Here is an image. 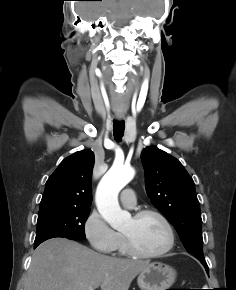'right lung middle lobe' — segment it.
<instances>
[{
  "instance_id": "obj_1",
  "label": "right lung middle lobe",
  "mask_w": 236,
  "mask_h": 290,
  "mask_svg": "<svg viewBox=\"0 0 236 290\" xmlns=\"http://www.w3.org/2000/svg\"><path fill=\"white\" fill-rule=\"evenodd\" d=\"M90 208L48 207L39 210L34 244L54 237L85 239V222Z\"/></svg>"
}]
</instances>
